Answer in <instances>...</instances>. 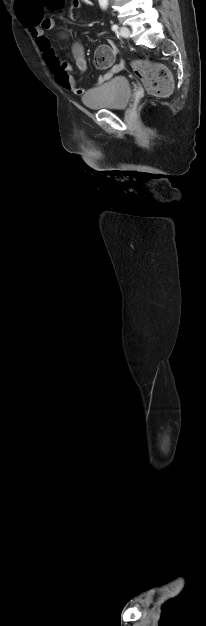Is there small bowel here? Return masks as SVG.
<instances>
[{
	"label": "small bowel",
	"instance_id": "1",
	"mask_svg": "<svg viewBox=\"0 0 206 626\" xmlns=\"http://www.w3.org/2000/svg\"><path fill=\"white\" fill-rule=\"evenodd\" d=\"M80 6L79 0L72 1V7L78 8ZM32 21H35V24H27L30 28V33L33 39L35 40L45 62L47 63L50 71L53 73L56 82L64 89L77 94L82 95L85 93V88L79 86L74 77L71 75V66L65 62L60 60L55 55L54 47L50 41V39L46 36V32L50 31L54 27V22L51 18H43L33 16L31 17ZM65 37L66 35L63 34ZM72 54L76 63V67L84 72L87 69V61L85 59L84 48L79 42H75L72 47ZM122 62L113 66V68L103 74L100 75L97 81V84H101L109 80L113 74L119 72L122 68Z\"/></svg>",
	"mask_w": 206,
	"mask_h": 626
}]
</instances>
